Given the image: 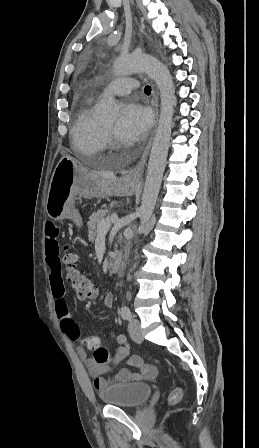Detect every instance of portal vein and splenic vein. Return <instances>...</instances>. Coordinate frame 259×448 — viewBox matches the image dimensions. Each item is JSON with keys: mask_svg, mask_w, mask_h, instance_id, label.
<instances>
[{"mask_svg": "<svg viewBox=\"0 0 259 448\" xmlns=\"http://www.w3.org/2000/svg\"><path fill=\"white\" fill-rule=\"evenodd\" d=\"M115 220H118L117 214L114 216ZM110 228V220H101L98 224V234H104V232H108Z\"/></svg>", "mask_w": 259, "mask_h": 448, "instance_id": "18ae733b", "label": "portal vein and splenic vein"}]
</instances>
